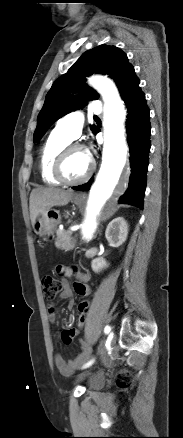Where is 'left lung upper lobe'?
Segmentation results:
<instances>
[{
	"label": "left lung upper lobe",
	"instance_id": "left-lung-upper-lobe-1",
	"mask_svg": "<svg viewBox=\"0 0 183 438\" xmlns=\"http://www.w3.org/2000/svg\"><path fill=\"white\" fill-rule=\"evenodd\" d=\"M103 73L113 78L120 94L136 77L134 68L126 54L116 46L100 45L86 51L59 77L46 95L45 103L38 115L33 141L38 143L48 128L64 115L84 107L88 101L98 98V94L85 84V76ZM92 132L98 130L90 126Z\"/></svg>",
	"mask_w": 183,
	"mask_h": 438
}]
</instances>
